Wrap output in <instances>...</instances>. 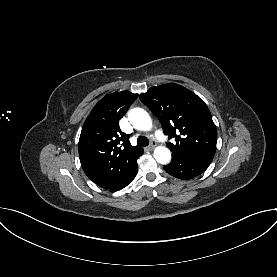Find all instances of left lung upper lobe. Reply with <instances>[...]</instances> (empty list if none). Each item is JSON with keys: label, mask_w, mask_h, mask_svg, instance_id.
<instances>
[{"label": "left lung upper lobe", "mask_w": 277, "mask_h": 277, "mask_svg": "<svg viewBox=\"0 0 277 277\" xmlns=\"http://www.w3.org/2000/svg\"><path fill=\"white\" fill-rule=\"evenodd\" d=\"M140 99L158 117L164 133L175 139L176 143H167L172 155L214 157L216 126L207 105L195 93L169 83L150 88Z\"/></svg>", "instance_id": "1"}]
</instances>
